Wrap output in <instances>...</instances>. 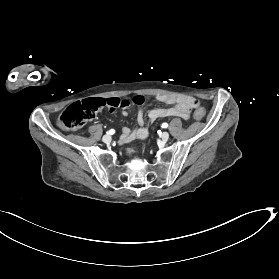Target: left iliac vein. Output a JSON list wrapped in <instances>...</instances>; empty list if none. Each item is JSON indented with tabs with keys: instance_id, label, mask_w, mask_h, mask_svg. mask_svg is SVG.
Returning a JSON list of instances; mask_svg holds the SVG:
<instances>
[{
	"instance_id": "left-iliac-vein-1",
	"label": "left iliac vein",
	"mask_w": 279,
	"mask_h": 279,
	"mask_svg": "<svg viewBox=\"0 0 279 279\" xmlns=\"http://www.w3.org/2000/svg\"><path fill=\"white\" fill-rule=\"evenodd\" d=\"M161 138H162L164 141L168 140V138H169V133H168V132H163V133L161 134Z\"/></svg>"
}]
</instances>
